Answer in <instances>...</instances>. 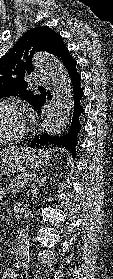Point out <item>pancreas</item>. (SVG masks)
Segmentation results:
<instances>
[{"instance_id": "pancreas-1", "label": "pancreas", "mask_w": 113, "mask_h": 279, "mask_svg": "<svg viewBox=\"0 0 113 279\" xmlns=\"http://www.w3.org/2000/svg\"><path fill=\"white\" fill-rule=\"evenodd\" d=\"M31 175H34L33 173L29 172H23L16 178L11 180V183L9 184L8 190L11 193H16L22 191L26 184L31 180Z\"/></svg>"}]
</instances>
